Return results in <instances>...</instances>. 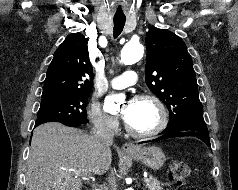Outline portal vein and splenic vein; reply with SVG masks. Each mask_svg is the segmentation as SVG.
Instances as JSON below:
<instances>
[{"instance_id":"18ae733b","label":"portal vein and splenic vein","mask_w":238,"mask_h":190,"mask_svg":"<svg viewBox=\"0 0 238 190\" xmlns=\"http://www.w3.org/2000/svg\"><path fill=\"white\" fill-rule=\"evenodd\" d=\"M69 171L76 172L75 170H72V169L69 170ZM89 178H90V177H84L83 179L88 180ZM145 182H146V183H149V179H146Z\"/></svg>"}]
</instances>
